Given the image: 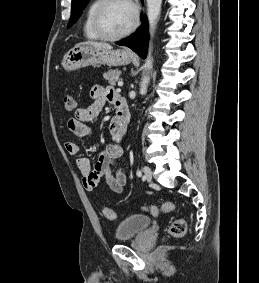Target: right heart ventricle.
<instances>
[{"mask_svg":"<svg viewBox=\"0 0 259 283\" xmlns=\"http://www.w3.org/2000/svg\"><path fill=\"white\" fill-rule=\"evenodd\" d=\"M101 0H93L88 6L83 22V33L87 39L97 40L99 37L95 33L93 29V15L96 7L100 3Z\"/></svg>","mask_w":259,"mask_h":283,"instance_id":"1","label":"right heart ventricle"}]
</instances>
